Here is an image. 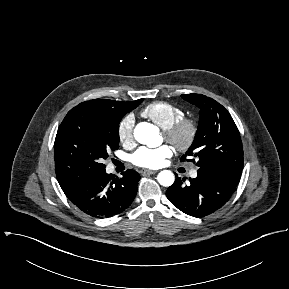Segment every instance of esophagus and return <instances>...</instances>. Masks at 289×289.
Here are the masks:
<instances>
[{"mask_svg": "<svg viewBox=\"0 0 289 289\" xmlns=\"http://www.w3.org/2000/svg\"><path fill=\"white\" fill-rule=\"evenodd\" d=\"M140 173L142 175H153V174H156L157 171L156 170H147V169H143L140 171Z\"/></svg>", "mask_w": 289, "mask_h": 289, "instance_id": "34e87169", "label": "esophagus"}]
</instances>
